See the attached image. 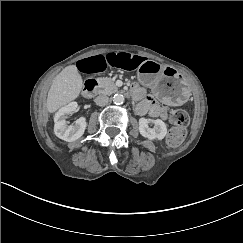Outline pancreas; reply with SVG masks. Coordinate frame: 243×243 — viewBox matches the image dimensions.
<instances>
[{"label": "pancreas", "mask_w": 243, "mask_h": 243, "mask_svg": "<svg viewBox=\"0 0 243 243\" xmlns=\"http://www.w3.org/2000/svg\"><path fill=\"white\" fill-rule=\"evenodd\" d=\"M97 83L99 87L104 88V90H101L104 94H112L118 91V86L110 77H99Z\"/></svg>", "instance_id": "pancreas-1"}]
</instances>
